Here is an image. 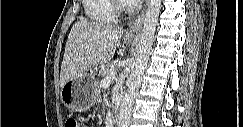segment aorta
I'll use <instances>...</instances> for the list:
<instances>
[{
	"mask_svg": "<svg viewBox=\"0 0 243 127\" xmlns=\"http://www.w3.org/2000/svg\"><path fill=\"white\" fill-rule=\"evenodd\" d=\"M161 9V0H150L146 11L142 28L140 45L134 67V74L131 79L128 92L126 93L119 113L118 127H129L132 106L136 93L141 85L144 71L147 66L149 55L154 41V34L158 23Z\"/></svg>",
	"mask_w": 243,
	"mask_h": 127,
	"instance_id": "1",
	"label": "aorta"
}]
</instances>
